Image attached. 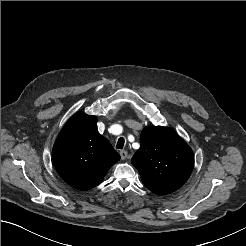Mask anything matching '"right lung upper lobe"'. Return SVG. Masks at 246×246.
Returning a JSON list of instances; mask_svg holds the SVG:
<instances>
[{
  "instance_id": "1",
  "label": "right lung upper lobe",
  "mask_w": 246,
  "mask_h": 246,
  "mask_svg": "<svg viewBox=\"0 0 246 246\" xmlns=\"http://www.w3.org/2000/svg\"><path fill=\"white\" fill-rule=\"evenodd\" d=\"M95 116L74 114L59 134L52 151L54 166L72 187L88 190L101 183L119 154L97 131Z\"/></svg>"
}]
</instances>
